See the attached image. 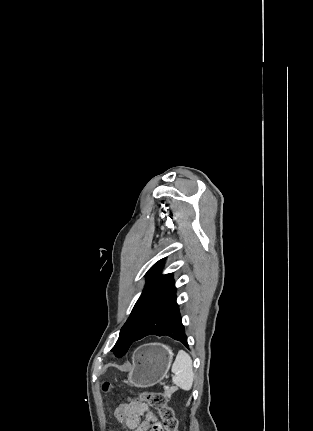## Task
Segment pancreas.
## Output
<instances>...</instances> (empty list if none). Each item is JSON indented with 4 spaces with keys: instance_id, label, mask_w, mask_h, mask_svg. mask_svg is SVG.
Returning a JSON list of instances; mask_svg holds the SVG:
<instances>
[{
    "instance_id": "1",
    "label": "pancreas",
    "mask_w": 313,
    "mask_h": 431,
    "mask_svg": "<svg viewBox=\"0 0 313 431\" xmlns=\"http://www.w3.org/2000/svg\"><path fill=\"white\" fill-rule=\"evenodd\" d=\"M164 390H165L164 395H165L166 397H170V396H171V394H172L173 392H175V391H176V388H175V387H168V386H165V387H164Z\"/></svg>"
}]
</instances>
